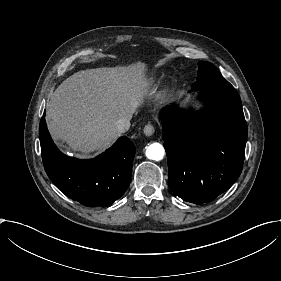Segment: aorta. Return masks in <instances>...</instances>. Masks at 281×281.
<instances>
[{
	"instance_id": "762f6f07",
	"label": "aorta",
	"mask_w": 281,
	"mask_h": 281,
	"mask_svg": "<svg viewBox=\"0 0 281 281\" xmlns=\"http://www.w3.org/2000/svg\"><path fill=\"white\" fill-rule=\"evenodd\" d=\"M145 155L150 160L160 161L165 155V149L162 144L155 142L146 147Z\"/></svg>"
}]
</instances>
